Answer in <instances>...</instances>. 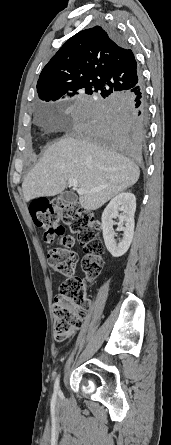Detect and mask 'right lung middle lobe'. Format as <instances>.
<instances>
[{
    "instance_id": "right-lung-middle-lobe-1",
    "label": "right lung middle lobe",
    "mask_w": 171,
    "mask_h": 445,
    "mask_svg": "<svg viewBox=\"0 0 171 445\" xmlns=\"http://www.w3.org/2000/svg\"><path fill=\"white\" fill-rule=\"evenodd\" d=\"M91 94H94V93H89V95H91ZM105 97V95L104 94H102V93H97V95H95V98L94 97H90L89 99H88V101L89 102H94L95 100H99V99H102V98H104Z\"/></svg>"
}]
</instances>
